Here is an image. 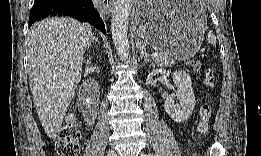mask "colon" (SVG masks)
<instances>
[{
  "label": "colon",
  "instance_id": "colon-1",
  "mask_svg": "<svg viewBox=\"0 0 261 156\" xmlns=\"http://www.w3.org/2000/svg\"><path fill=\"white\" fill-rule=\"evenodd\" d=\"M193 71L202 75L203 83L208 89H213L216 84V75L213 69L204 67L200 60H193L190 63ZM211 107L207 104L200 109V121L198 131L205 134L208 131V121L211 117ZM81 129L74 113L67 116L56 142V152L61 156H77L80 152Z\"/></svg>",
  "mask_w": 261,
  "mask_h": 156
}]
</instances>
